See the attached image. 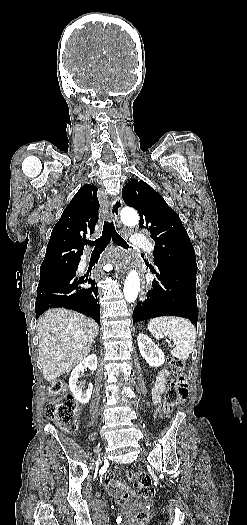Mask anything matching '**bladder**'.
<instances>
[{"instance_id":"31cf9c89","label":"bladder","mask_w":247,"mask_h":525,"mask_svg":"<svg viewBox=\"0 0 247 525\" xmlns=\"http://www.w3.org/2000/svg\"><path fill=\"white\" fill-rule=\"evenodd\" d=\"M117 505L121 506V507H127L129 505H131L130 503V500L127 499V498H121L117 501Z\"/></svg>"}]
</instances>
